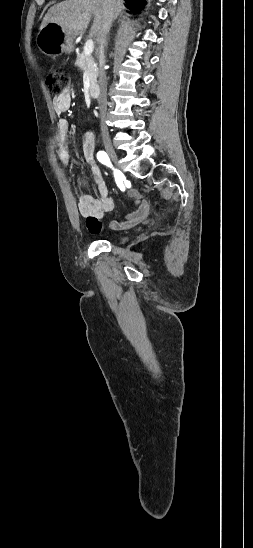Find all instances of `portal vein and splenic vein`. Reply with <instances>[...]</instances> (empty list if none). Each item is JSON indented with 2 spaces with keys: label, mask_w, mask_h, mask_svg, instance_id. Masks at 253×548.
I'll list each match as a JSON object with an SVG mask.
<instances>
[{
  "label": "portal vein and splenic vein",
  "mask_w": 253,
  "mask_h": 548,
  "mask_svg": "<svg viewBox=\"0 0 253 548\" xmlns=\"http://www.w3.org/2000/svg\"><path fill=\"white\" fill-rule=\"evenodd\" d=\"M94 50V42L93 40H87L84 46V53L87 56H91L92 52Z\"/></svg>",
  "instance_id": "1"
}]
</instances>
